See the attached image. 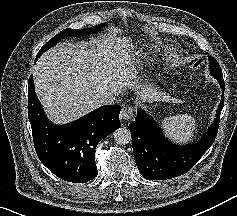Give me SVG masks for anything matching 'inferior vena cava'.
Returning <instances> with one entry per match:
<instances>
[{
	"label": "inferior vena cava",
	"mask_w": 237,
	"mask_h": 216,
	"mask_svg": "<svg viewBox=\"0 0 237 216\" xmlns=\"http://www.w3.org/2000/svg\"><path fill=\"white\" fill-rule=\"evenodd\" d=\"M120 94V91L117 88H109L105 92L101 93L100 103L101 105H116L120 102L117 99V96Z\"/></svg>",
	"instance_id": "602c4592"
}]
</instances>
